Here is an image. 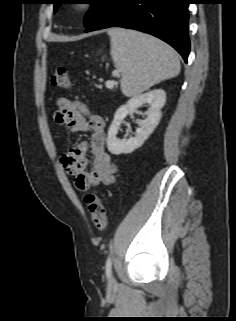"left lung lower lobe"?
Masks as SVG:
<instances>
[{"instance_id":"1","label":"left lung lower lobe","mask_w":236,"mask_h":321,"mask_svg":"<svg viewBox=\"0 0 236 321\" xmlns=\"http://www.w3.org/2000/svg\"><path fill=\"white\" fill-rule=\"evenodd\" d=\"M192 0H111L86 27L91 32L123 27L156 36L174 47L187 62L190 51L188 4Z\"/></svg>"}]
</instances>
